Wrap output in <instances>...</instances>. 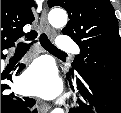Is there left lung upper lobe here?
<instances>
[{
	"instance_id": "5c2ea615",
	"label": "left lung upper lobe",
	"mask_w": 121,
	"mask_h": 113,
	"mask_svg": "<svg viewBox=\"0 0 121 113\" xmlns=\"http://www.w3.org/2000/svg\"><path fill=\"white\" fill-rule=\"evenodd\" d=\"M69 15L62 30L80 47L73 66L81 76L99 78L121 92V49L118 21L109 0H48ZM68 76L74 79L73 69Z\"/></svg>"
}]
</instances>
